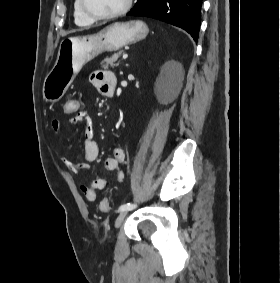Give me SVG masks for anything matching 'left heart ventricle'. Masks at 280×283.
Here are the masks:
<instances>
[{
	"mask_svg": "<svg viewBox=\"0 0 280 283\" xmlns=\"http://www.w3.org/2000/svg\"><path fill=\"white\" fill-rule=\"evenodd\" d=\"M126 0H86L87 7L95 14L105 15L121 9Z\"/></svg>",
	"mask_w": 280,
	"mask_h": 283,
	"instance_id": "1",
	"label": "left heart ventricle"
}]
</instances>
